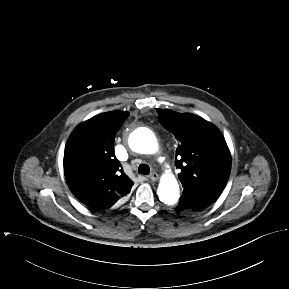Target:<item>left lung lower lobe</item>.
Masks as SVG:
<instances>
[{
	"instance_id": "left-lung-lower-lobe-1",
	"label": "left lung lower lobe",
	"mask_w": 289,
	"mask_h": 289,
	"mask_svg": "<svg viewBox=\"0 0 289 289\" xmlns=\"http://www.w3.org/2000/svg\"><path fill=\"white\" fill-rule=\"evenodd\" d=\"M212 202L213 201L203 197L183 194L175 210L178 213L195 214L208 207Z\"/></svg>"
}]
</instances>
